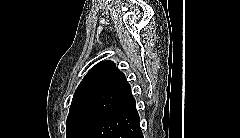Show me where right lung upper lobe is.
Wrapping results in <instances>:
<instances>
[{"mask_svg": "<svg viewBox=\"0 0 240 138\" xmlns=\"http://www.w3.org/2000/svg\"><path fill=\"white\" fill-rule=\"evenodd\" d=\"M133 100L125 75L112 61H102L86 74L78 86L68 117L88 112L109 115Z\"/></svg>", "mask_w": 240, "mask_h": 138, "instance_id": "1", "label": "right lung upper lobe"}]
</instances>
